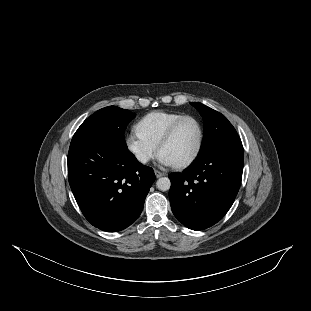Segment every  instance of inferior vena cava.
Wrapping results in <instances>:
<instances>
[{
  "mask_svg": "<svg viewBox=\"0 0 311 311\" xmlns=\"http://www.w3.org/2000/svg\"><path fill=\"white\" fill-rule=\"evenodd\" d=\"M136 158L141 162V163H147L149 161V157L143 154H138L136 155Z\"/></svg>",
  "mask_w": 311,
  "mask_h": 311,
  "instance_id": "602c4592",
  "label": "inferior vena cava"
}]
</instances>
